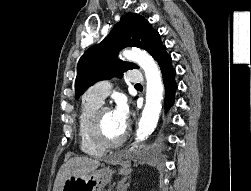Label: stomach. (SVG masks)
Segmentation results:
<instances>
[{
  "instance_id": "stomach-1",
  "label": "stomach",
  "mask_w": 251,
  "mask_h": 191,
  "mask_svg": "<svg viewBox=\"0 0 251 191\" xmlns=\"http://www.w3.org/2000/svg\"><path fill=\"white\" fill-rule=\"evenodd\" d=\"M124 155H114L111 159H105L107 163H120L121 167L118 169H110V167H101V169H95L92 173L87 175L86 179L81 177H75V175H68L66 181H64L61 191H101L106 183H109L112 173H122V175H128L132 169L129 167L128 161H122Z\"/></svg>"
}]
</instances>
